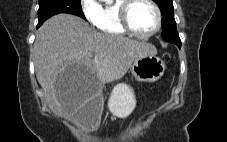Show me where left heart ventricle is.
I'll return each instance as SVG.
<instances>
[{"mask_svg":"<svg viewBox=\"0 0 227 142\" xmlns=\"http://www.w3.org/2000/svg\"><path fill=\"white\" fill-rule=\"evenodd\" d=\"M130 21L139 33H149L157 25V15L154 8L145 0H137L130 11Z\"/></svg>","mask_w":227,"mask_h":142,"instance_id":"b2bd125f","label":"left heart ventricle"}]
</instances>
